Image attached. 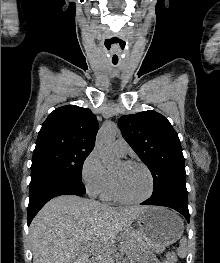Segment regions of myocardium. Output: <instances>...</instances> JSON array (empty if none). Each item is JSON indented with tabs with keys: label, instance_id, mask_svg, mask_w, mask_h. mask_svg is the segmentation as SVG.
I'll use <instances>...</instances> for the list:
<instances>
[{
	"label": "myocardium",
	"instance_id": "myocardium-1",
	"mask_svg": "<svg viewBox=\"0 0 220 263\" xmlns=\"http://www.w3.org/2000/svg\"><path fill=\"white\" fill-rule=\"evenodd\" d=\"M122 163L124 165H138V166H141L146 171V173L148 174L149 181H150V187H149L148 193L145 196L141 197V198H138V199L126 198L119 191L115 175L111 172L110 173V176H111V187H112V192H113L114 197L117 200H119V201H121L123 203H126V204H139V203H143V202L147 201L152 196V194L154 192V188H155V180H154V176H153L152 171L150 170V168L145 163H143L141 161H138V160H132V159L123 160Z\"/></svg>",
	"mask_w": 220,
	"mask_h": 263
}]
</instances>
